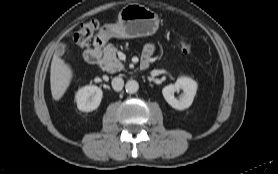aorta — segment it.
<instances>
[{"mask_svg": "<svg viewBox=\"0 0 278 174\" xmlns=\"http://www.w3.org/2000/svg\"><path fill=\"white\" fill-rule=\"evenodd\" d=\"M125 89H126L127 93L134 94V93H136L138 91L139 84L135 80H129L126 83Z\"/></svg>", "mask_w": 278, "mask_h": 174, "instance_id": "1", "label": "aorta"}]
</instances>
